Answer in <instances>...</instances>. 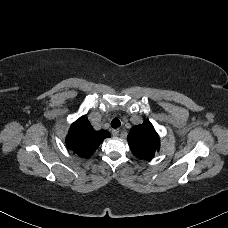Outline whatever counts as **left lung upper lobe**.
<instances>
[{
  "mask_svg": "<svg viewBox=\"0 0 228 228\" xmlns=\"http://www.w3.org/2000/svg\"><path fill=\"white\" fill-rule=\"evenodd\" d=\"M128 143L134 156L146 160L153 158L160 148L159 136L148 120L132 127L128 134Z\"/></svg>",
  "mask_w": 228,
  "mask_h": 228,
  "instance_id": "left-lung-upper-lobe-1",
  "label": "left lung upper lobe"
}]
</instances>
